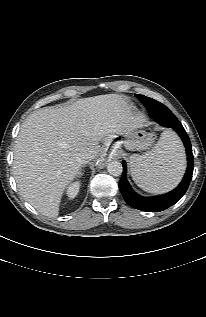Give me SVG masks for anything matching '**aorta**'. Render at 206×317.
<instances>
[{
	"instance_id": "obj_1",
	"label": "aorta",
	"mask_w": 206,
	"mask_h": 317,
	"mask_svg": "<svg viewBox=\"0 0 206 317\" xmlns=\"http://www.w3.org/2000/svg\"><path fill=\"white\" fill-rule=\"evenodd\" d=\"M107 170L112 176H120L123 172V167L119 161H111L107 166Z\"/></svg>"
}]
</instances>
